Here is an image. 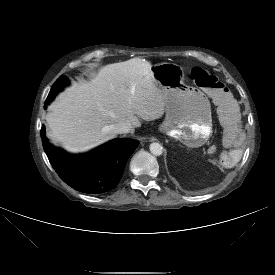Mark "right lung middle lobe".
I'll return each mask as SVG.
<instances>
[{
  "instance_id": "dd1d6c3e",
  "label": "right lung middle lobe",
  "mask_w": 275,
  "mask_h": 275,
  "mask_svg": "<svg viewBox=\"0 0 275 275\" xmlns=\"http://www.w3.org/2000/svg\"><path fill=\"white\" fill-rule=\"evenodd\" d=\"M68 84H69V79L64 75L60 76L57 79V81L53 84L50 90V93L45 101L44 108H46L47 104H49L55 98V96Z\"/></svg>"
}]
</instances>
